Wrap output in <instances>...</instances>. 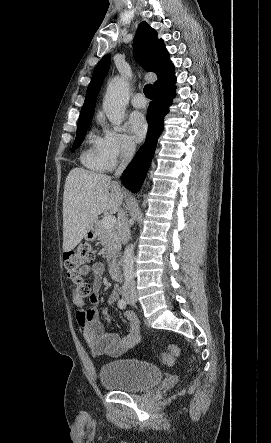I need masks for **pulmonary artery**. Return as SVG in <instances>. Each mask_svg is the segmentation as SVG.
<instances>
[{
    "label": "pulmonary artery",
    "mask_w": 271,
    "mask_h": 443,
    "mask_svg": "<svg viewBox=\"0 0 271 443\" xmlns=\"http://www.w3.org/2000/svg\"><path fill=\"white\" fill-rule=\"evenodd\" d=\"M131 103L135 108H144L147 106V99L143 93H136L132 99Z\"/></svg>",
    "instance_id": "1"
}]
</instances>
